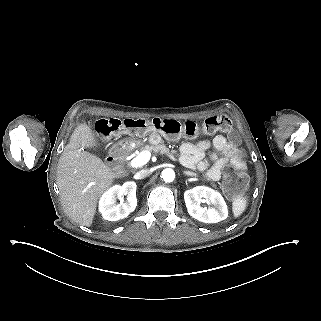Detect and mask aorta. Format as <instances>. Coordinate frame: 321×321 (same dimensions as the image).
Returning <instances> with one entry per match:
<instances>
[{
    "label": "aorta",
    "instance_id": "obj_1",
    "mask_svg": "<svg viewBox=\"0 0 321 321\" xmlns=\"http://www.w3.org/2000/svg\"><path fill=\"white\" fill-rule=\"evenodd\" d=\"M161 177L165 182H172L175 179V172L171 168L164 169L161 173Z\"/></svg>",
    "mask_w": 321,
    "mask_h": 321
}]
</instances>
